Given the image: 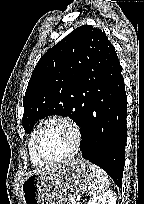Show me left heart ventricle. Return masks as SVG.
Returning a JSON list of instances; mask_svg holds the SVG:
<instances>
[{
	"label": "left heart ventricle",
	"instance_id": "left-heart-ventricle-1",
	"mask_svg": "<svg viewBox=\"0 0 144 204\" xmlns=\"http://www.w3.org/2000/svg\"><path fill=\"white\" fill-rule=\"evenodd\" d=\"M74 145V135L70 127L62 123L50 125L40 141L41 153L49 159L68 155Z\"/></svg>",
	"mask_w": 144,
	"mask_h": 204
}]
</instances>
